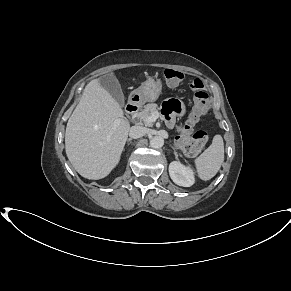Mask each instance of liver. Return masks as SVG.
I'll list each match as a JSON object with an SVG mask.
<instances>
[{
    "label": "liver",
    "instance_id": "liver-1",
    "mask_svg": "<svg viewBox=\"0 0 291 291\" xmlns=\"http://www.w3.org/2000/svg\"><path fill=\"white\" fill-rule=\"evenodd\" d=\"M113 74V73H111ZM119 124L115 126V121ZM130 124L99 79L90 81L70 116L65 132L66 154L84 178L102 179L120 161Z\"/></svg>",
    "mask_w": 291,
    "mask_h": 291
}]
</instances>
